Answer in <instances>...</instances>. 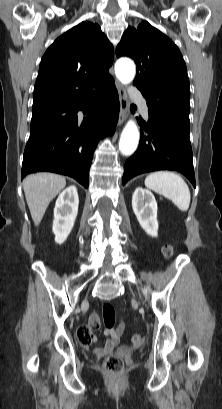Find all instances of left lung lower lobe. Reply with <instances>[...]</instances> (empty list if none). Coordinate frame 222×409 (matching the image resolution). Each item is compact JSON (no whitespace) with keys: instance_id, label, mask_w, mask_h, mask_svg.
Here are the masks:
<instances>
[{"instance_id":"left-lung-lower-lobe-1","label":"left lung lower lobe","mask_w":222,"mask_h":409,"mask_svg":"<svg viewBox=\"0 0 222 409\" xmlns=\"http://www.w3.org/2000/svg\"><path fill=\"white\" fill-rule=\"evenodd\" d=\"M147 136L141 132L139 148L124 167L123 185L132 177L156 170H175L196 187L189 139V111L183 101L147 104Z\"/></svg>"}]
</instances>
